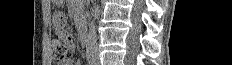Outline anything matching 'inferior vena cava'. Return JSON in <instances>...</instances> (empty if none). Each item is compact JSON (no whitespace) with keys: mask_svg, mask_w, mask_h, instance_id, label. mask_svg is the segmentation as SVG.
Instances as JSON below:
<instances>
[{"mask_svg":"<svg viewBox=\"0 0 232 65\" xmlns=\"http://www.w3.org/2000/svg\"><path fill=\"white\" fill-rule=\"evenodd\" d=\"M86 52L89 61L98 60V44L94 21L89 24V33L86 41Z\"/></svg>","mask_w":232,"mask_h":65,"instance_id":"1","label":"inferior vena cava"}]
</instances>
